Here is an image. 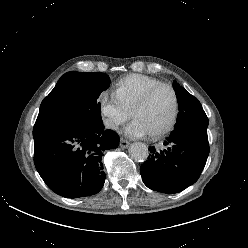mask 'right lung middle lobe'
I'll list each match as a JSON object with an SVG mask.
<instances>
[{"label": "right lung middle lobe", "mask_w": 248, "mask_h": 248, "mask_svg": "<svg viewBox=\"0 0 248 248\" xmlns=\"http://www.w3.org/2000/svg\"><path fill=\"white\" fill-rule=\"evenodd\" d=\"M110 85L101 72H68L42 101L35 124H102L100 93Z\"/></svg>", "instance_id": "1"}]
</instances>
